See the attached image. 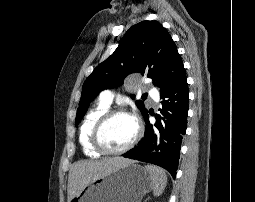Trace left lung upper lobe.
I'll use <instances>...</instances> for the list:
<instances>
[{
  "label": "left lung upper lobe",
  "instance_id": "left-lung-upper-lobe-1",
  "mask_svg": "<svg viewBox=\"0 0 255 202\" xmlns=\"http://www.w3.org/2000/svg\"><path fill=\"white\" fill-rule=\"evenodd\" d=\"M184 71L174 41L159 22L142 21L133 25L114 53L99 64L84 82L75 125L99 92L122 85L124 78L133 72L147 75L161 92L174 84ZM136 105L143 115L147 112L141 100H137Z\"/></svg>",
  "mask_w": 255,
  "mask_h": 202
}]
</instances>
